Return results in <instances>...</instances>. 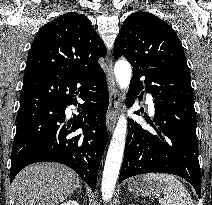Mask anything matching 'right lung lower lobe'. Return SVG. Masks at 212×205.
<instances>
[{"label":"right lung lower lobe","instance_id":"right-lung-lower-lobe-1","mask_svg":"<svg viewBox=\"0 0 212 205\" xmlns=\"http://www.w3.org/2000/svg\"><path fill=\"white\" fill-rule=\"evenodd\" d=\"M78 104L79 115L65 122V109ZM109 93L103 69L46 76L23 84L12 147L10 181L24 167L59 162L75 170L94 191L107 143ZM87 123V124H86ZM81 128L82 133H76Z\"/></svg>","mask_w":212,"mask_h":205}]
</instances>
